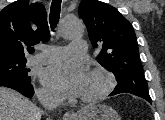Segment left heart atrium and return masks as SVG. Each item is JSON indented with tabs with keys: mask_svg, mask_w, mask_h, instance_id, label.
<instances>
[{
	"mask_svg": "<svg viewBox=\"0 0 165 120\" xmlns=\"http://www.w3.org/2000/svg\"><path fill=\"white\" fill-rule=\"evenodd\" d=\"M89 76L86 66L77 60H68L46 68L41 80L61 96H79Z\"/></svg>",
	"mask_w": 165,
	"mask_h": 120,
	"instance_id": "obj_1",
	"label": "left heart atrium"
}]
</instances>
